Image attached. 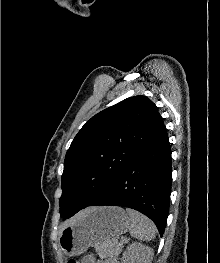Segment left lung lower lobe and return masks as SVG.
Instances as JSON below:
<instances>
[{
  "mask_svg": "<svg viewBox=\"0 0 220 263\" xmlns=\"http://www.w3.org/2000/svg\"><path fill=\"white\" fill-rule=\"evenodd\" d=\"M171 175V148L163 125L88 206L113 205L135 209L149 217L162 236L169 212ZM76 213L68 214L64 219Z\"/></svg>",
  "mask_w": 220,
  "mask_h": 263,
  "instance_id": "0a47b994",
  "label": "left lung lower lobe"
}]
</instances>
